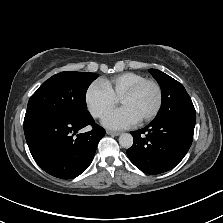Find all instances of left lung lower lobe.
<instances>
[{"label": "left lung lower lobe", "instance_id": "obj_1", "mask_svg": "<svg viewBox=\"0 0 223 223\" xmlns=\"http://www.w3.org/2000/svg\"><path fill=\"white\" fill-rule=\"evenodd\" d=\"M194 127L192 120L152 121L143 129L131 131L134 143L127 155L145 173L154 175L171 170L189 150Z\"/></svg>", "mask_w": 223, "mask_h": 223}]
</instances>
